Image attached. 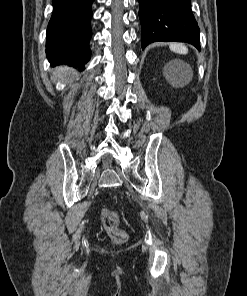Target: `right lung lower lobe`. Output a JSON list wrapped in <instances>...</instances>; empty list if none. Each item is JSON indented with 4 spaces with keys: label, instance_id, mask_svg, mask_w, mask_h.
Instances as JSON below:
<instances>
[{
    "label": "right lung lower lobe",
    "instance_id": "1",
    "mask_svg": "<svg viewBox=\"0 0 247 296\" xmlns=\"http://www.w3.org/2000/svg\"><path fill=\"white\" fill-rule=\"evenodd\" d=\"M94 0H52L53 14L47 28L46 54L53 65L84 69L91 51L90 19Z\"/></svg>",
    "mask_w": 247,
    "mask_h": 296
}]
</instances>
